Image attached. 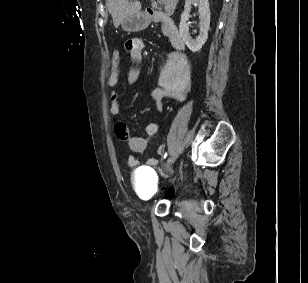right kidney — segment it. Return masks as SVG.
Returning a JSON list of instances; mask_svg holds the SVG:
<instances>
[{"instance_id": "ca27d5eb", "label": "right kidney", "mask_w": 308, "mask_h": 283, "mask_svg": "<svg viewBox=\"0 0 308 283\" xmlns=\"http://www.w3.org/2000/svg\"><path fill=\"white\" fill-rule=\"evenodd\" d=\"M192 6H198L199 20H200V33L195 39L189 34L188 19ZM210 27V9L208 0H186L184 11L181 14V21L179 25L180 35L185 42L186 46L192 52H198L205 44L208 38V30Z\"/></svg>"}]
</instances>
